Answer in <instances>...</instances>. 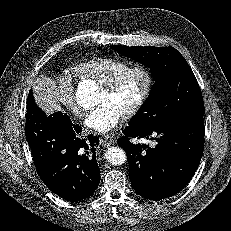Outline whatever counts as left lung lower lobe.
I'll use <instances>...</instances> for the list:
<instances>
[{"mask_svg":"<svg viewBox=\"0 0 231 231\" xmlns=\"http://www.w3.org/2000/svg\"><path fill=\"white\" fill-rule=\"evenodd\" d=\"M118 145L126 151L129 177L144 198L161 200L182 190L193 177L204 147L203 117L169 126L126 127ZM130 137L156 141V146L132 144Z\"/></svg>","mask_w":231,"mask_h":231,"instance_id":"left-lung-lower-lobe-1","label":"left lung lower lobe"}]
</instances>
